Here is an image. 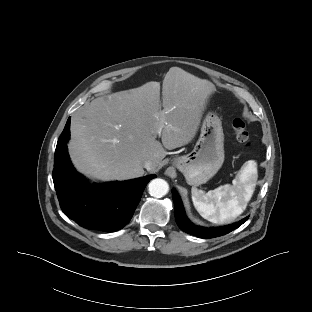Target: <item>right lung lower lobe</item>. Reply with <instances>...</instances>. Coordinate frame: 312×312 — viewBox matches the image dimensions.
<instances>
[{
    "label": "right lung lower lobe",
    "mask_w": 312,
    "mask_h": 312,
    "mask_svg": "<svg viewBox=\"0 0 312 312\" xmlns=\"http://www.w3.org/2000/svg\"><path fill=\"white\" fill-rule=\"evenodd\" d=\"M70 117L57 142L53 182L63 213L86 229L114 232L131 220L147 183L156 175L90 185L73 168L67 152Z\"/></svg>",
    "instance_id": "98d812e1"
}]
</instances>
